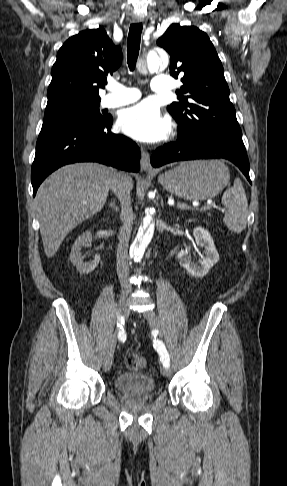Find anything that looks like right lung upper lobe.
Here are the masks:
<instances>
[{"instance_id":"1","label":"right lung upper lobe","mask_w":287,"mask_h":486,"mask_svg":"<svg viewBox=\"0 0 287 486\" xmlns=\"http://www.w3.org/2000/svg\"><path fill=\"white\" fill-rule=\"evenodd\" d=\"M122 51L106 31L85 30L70 37L59 49L47 91V106L68 102L100 100L98 91L106 76L118 69Z\"/></svg>"}]
</instances>
